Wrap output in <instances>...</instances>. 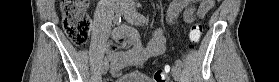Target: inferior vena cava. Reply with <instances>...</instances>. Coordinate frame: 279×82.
<instances>
[{"label":"inferior vena cava","mask_w":279,"mask_h":82,"mask_svg":"<svg viewBox=\"0 0 279 82\" xmlns=\"http://www.w3.org/2000/svg\"><path fill=\"white\" fill-rule=\"evenodd\" d=\"M117 2H120L125 6V13L132 11V4L130 3V0H118Z\"/></svg>","instance_id":"obj_1"}]
</instances>
